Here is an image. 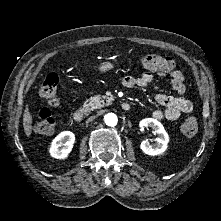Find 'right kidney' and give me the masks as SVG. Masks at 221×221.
<instances>
[{"label": "right kidney", "mask_w": 221, "mask_h": 221, "mask_svg": "<svg viewBox=\"0 0 221 221\" xmlns=\"http://www.w3.org/2000/svg\"><path fill=\"white\" fill-rule=\"evenodd\" d=\"M75 142V135L71 131L59 133L52 141L49 152L53 158L65 159L71 152Z\"/></svg>", "instance_id": "obj_1"}]
</instances>
